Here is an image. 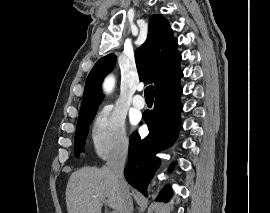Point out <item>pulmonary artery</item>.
I'll list each match as a JSON object with an SVG mask.
<instances>
[{"label":"pulmonary artery","instance_id":"obj_1","mask_svg":"<svg viewBox=\"0 0 270 213\" xmlns=\"http://www.w3.org/2000/svg\"><path fill=\"white\" fill-rule=\"evenodd\" d=\"M138 91L141 89L138 88ZM133 106L137 109H143L145 107V100L140 94H136L132 100Z\"/></svg>","mask_w":270,"mask_h":213}]
</instances>
